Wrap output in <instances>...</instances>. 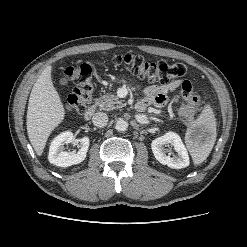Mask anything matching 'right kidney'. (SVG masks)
Listing matches in <instances>:
<instances>
[{"label":"right kidney","instance_id":"ca27d5eb","mask_svg":"<svg viewBox=\"0 0 247 247\" xmlns=\"http://www.w3.org/2000/svg\"><path fill=\"white\" fill-rule=\"evenodd\" d=\"M72 141L73 133L70 131L63 132L55 137L49 149V162L60 167H68L81 163L86 158L90 140L88 137L79 139L81 147L76 154L63 151V145L69 144Z\"/></svg>","mask_w":247,"mask_h":247}]
</instances>
